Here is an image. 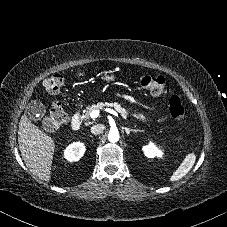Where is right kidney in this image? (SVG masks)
Here are the masks:
<instances>
[{
    "label": "right kidney",
    "instance_id": "right-kidney-1",
    "mask_svg": "<svg viewBox=\"0 0 227 227\" xmlns=\"http://www.w3.org/2000/svg\"><path fill=\"white\" fill-rule=\"evenodd\" d=\"M85 153V146L81 142H75L70 144L64 150V157L69 162L78 161Z\"/></svg>",
    "mask_w": 227,
    "mask_h": 227
}]
</instances>
